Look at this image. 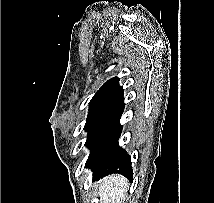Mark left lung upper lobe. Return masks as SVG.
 Instances as JSON below:
<instances>
[{"instance_id":"left-lung-upper-lobe-1","label":"left lung upper lobe","mask_w":214,"mask_h":203,"mask_svg":"<svg viewBox=\"0 0 214 203\" xmlns=\"http://www.w3.org/2000/svg\"><path fill=\"white\" fill-rule=\"evenodd\" d=\"M123 92L119 86V78L114 77L108 80L93 96L89 105V113L86 119L85 130L96 118Z\"/></svg>"}]
</instances>
